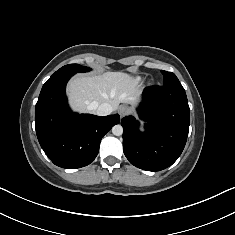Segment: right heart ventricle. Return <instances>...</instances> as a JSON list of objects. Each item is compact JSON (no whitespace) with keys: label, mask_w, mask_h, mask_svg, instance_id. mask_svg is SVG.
Returning a JSON list of instances; mask_svg holds the SVG:
<instances>
[{"label":"right heart ventricle","mask_w":235,"mask_h":235,"mask_svg":"<svg viewBox=\"0 0 235 235\" xmlns=\"http://www.w3.org/2000/svg\"><path fill=\"white\" fill-rule=\"evenodd\" d=\"M139 80H140V78H137V79H136V81H139Z\"/></svg>","instance_id":"right-heart-ventricle-1"}]
</instances>
